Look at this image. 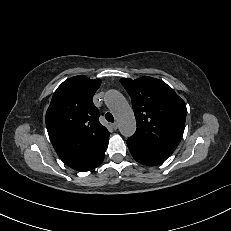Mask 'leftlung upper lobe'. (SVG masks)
I'll list each match as a JSON object with an SVG mask.
<instances>
[{
	"label": "left lung upper lobe",
	"instance_id": "1",
	"mask_svg": "<svg viewBox=\"0 0 231 231\" xmlns=\"http://www.w3.org/2000/svg\"><path fill=\"white\" fill-rule=\"evenodd\" d=\"M131 97L137 130L129 140L172 154L185 126L186 105L165 82L151 77L120 80Z\"/></svg>",
	"mask_w": 231,
	"mask_h": 231
}]
</instances>
